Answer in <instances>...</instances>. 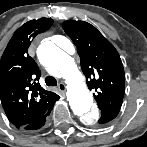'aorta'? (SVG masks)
Instances as JSON below:
<instances>
[{
    "label": "aorta",
    "instance_id": "aorta-1",
    "mask_svg": "<svg viewBox=\"0 0 147 147\" xmlns=\"http://www.w3.org/2000/svg\"><path fill=\"white\" fill-rule=\"evenodd\" d=\"M63 43L69 49L74 50L67 38H63ZM38 57L43 65L59 71L65 79L68 101L74 114L87 124L94 123L99 114L94 107L93 97L86 85L85 77L74 59L49 41L40 46Z\"/></svg>",
    "mask_w": 147,
    "mask_h": 147
}]
</instances>
